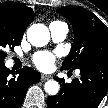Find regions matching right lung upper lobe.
<instances>
[{"mask_svg": "<svg viewBox=\"0 0 108 108\" xmlns=\"http://www.w3.org/2000/svg\"><path fill=\"white\" fill-rule=\"evenodd\" d=\"M0 14L8 16L23 34L35 16L34 11L24 3L12 1L0 4Z\"/></svg>", "mask_w": 108, "mask_h": 108, "instance_id": "1", "label": "right lung upper lobe"}]
</instances>
